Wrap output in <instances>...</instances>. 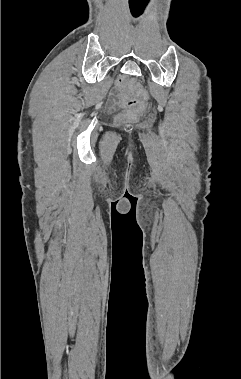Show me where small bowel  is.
I'll list each match as a JSON object with an SVG mask.
<instances>
[{
  "label": "small bowel",
  "instance_id": "c3829d8e",
  "mask_svg": "<svg viewBox=\"0 0 241 379\" xmlns=\"http://www.w3.org/2000/svg\"><path fill=\"white\" fill-rule=\"evenodd\" d=\"M109 105L110 106H113V105H115V103H116V100H115V98L112 96L110 99H109Z\"/></svg>",
  "mask_w": 241,
  "mask_h": 379
}]
</instances>
